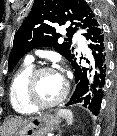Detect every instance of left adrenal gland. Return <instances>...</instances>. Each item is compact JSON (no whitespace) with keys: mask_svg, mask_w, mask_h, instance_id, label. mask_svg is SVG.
Masks as SVG:
<instances>
[{"mask_svg":"<svg viewBox=\"0 0 117 136\" xmlns=\"http://www.w3.org/2000/svg\"><path fill=\"white\" fill-rule=\"evenodd\" d=\"M58 130H59V132H58L57 136H61L62 131L60 128Z\"/></svg>","mask_w":117,"mask_h":136,"instance_id":"left-adrenal-gland-1","label":"left adrenal gland"}]
</instances>
